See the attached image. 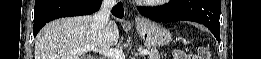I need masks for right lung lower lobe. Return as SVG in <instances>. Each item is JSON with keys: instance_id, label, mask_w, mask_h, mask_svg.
Returning <instances> with one entry per match:
<instances>
[{"instance_id": "1", "label": "right lung lower lobe", "mask_w": 261, "mask_h": 59, "mask_svg": "<svg viewBox=\"0 0 261 59\" xmlns=\"http://www.w3.org/2000/svg\"><path fill=\"white\" fill-rule=\"evenodd\" d=\"M101 0H36L33 34L49 21L67 16L92 14L100 9ZM113 14L122 18L124 9L121 3L115 5Z\"/></svg>"}]
</instances>
